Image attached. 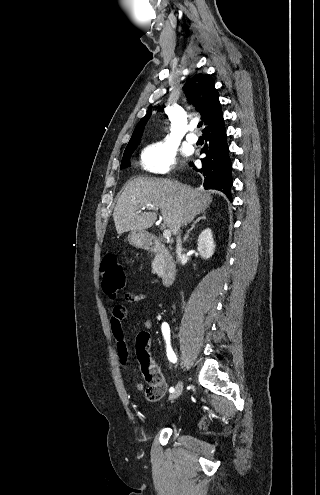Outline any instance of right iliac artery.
Masks as SVG:
<instances>
[{
    "label": "right iliac artery",
    "instance_id": "1",
    "mask_svg": "<svg viewBox=\"0 0 320 495\" xmlns=\"http://www.w3.org/2000/svg\"><path fill=\"white\" fill-rule=\"evenodd\" d=\"M161 330H162V333H163V336H164V339L166 341V350H167V357L168 359L172 362V363H176L177 361V357L171 347V344H170V328H169V325L166 323V322H163L162 323V326H161ZM174 391V388L171 387L169 389V392L172 393Z\"/></svg>",
    "mask_w": 320,
    "mask_h": 495
}]
</instances>
